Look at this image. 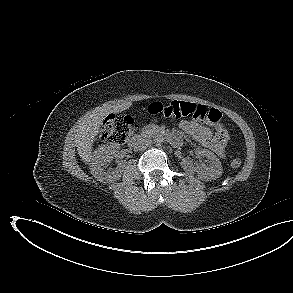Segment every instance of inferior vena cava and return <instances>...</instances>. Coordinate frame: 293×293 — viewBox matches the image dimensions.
<instances>
[{
    "instance_id": "602c4592",
    "label": "inferior vena cava",
    "mask_w": 293,
    "mask_h": 293,
    "mask_svg": "<svg viewBox=\"0 0 293 293\" xmlns=\"http://www.w3.org/2000/svg\"><path fill=\"white\" fill-rule=\"evenodd\" d=\"M152 140L149 138H138L136 141L135 149L136 150H145L149 146H151Z\"/></svg>"
}]
</instances>
